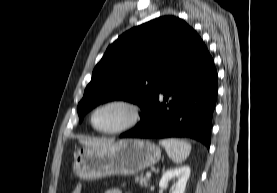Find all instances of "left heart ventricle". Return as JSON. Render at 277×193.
<instances>
[{
	"instance_id": "obj_1",
	"label": "left heart ventricle",
	"mask_w": 277,
	"mask_h": 193,
	"mask_svg": "<svg viewBox=\"0 0 277 193\" xmlns=\"http://www.w3.org/2000/svg\"><path fill=\"white\" fill-rule=\"evenodd\" d=\"M130 116V111L127 108L119 105H109L95 113L93 122L101 130H113L127 123Z\"/></svg>"
}]
</instances>
